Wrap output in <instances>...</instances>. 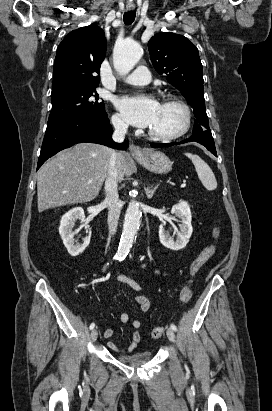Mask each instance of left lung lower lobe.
Segmentation results:
<instances>
[{"instance_id":"left-lung-lower-lobe-1","label":"left lung lower lobe","mask_w":272,"mask_h":411,"mask_svg":"<svg viewBox=\"0 0 272 411\" xmlns=\"http://www.w3.org/2000/svg\"><path fill=\"white\" fill-rule=\"evenodd\" d=\"M190 141L198 142V143L204 145L212 154L217 156L216 148H215V144H214V140H213L211 131H206V132H203V133H200V134H194L190 138L185 139L181 142L166 143V144L151 143V147H153V148L169 147V146H173V145H177V144H183V143L190 142Z\"/></svg>"}]
</instances>
